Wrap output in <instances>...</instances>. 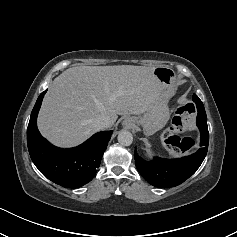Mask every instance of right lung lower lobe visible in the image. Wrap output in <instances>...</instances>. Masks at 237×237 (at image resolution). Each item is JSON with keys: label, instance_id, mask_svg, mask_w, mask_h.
<instances>
[{"label": "right lung lower lobe", "instance_id": "98d812e1", "mask_svg": "<svg viewBox=\"0 0 237 237\" xmlns=\"http://www.w3.org/2000/svg\"><path fill=\"white\" fill-rule=\"evenodd\" d=\"M45 93L38 97L27 128L30 157L38 170L54 183L67 188L81 187L94 177L112 132H99L70 149L53 146L41 136L36 123Z\"/></svg>", "mask_w": 237, "mask_h": 237}]
</instances>
